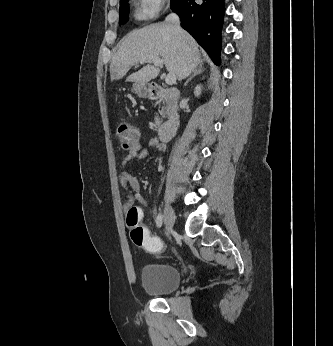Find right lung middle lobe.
I'll use <instances>...</instances> for the list:
<instances>
[{
    "mask_svg": "<svg viewBox=\"0 0 333 346\" xmlns=\"http://www.w3.org/2000/svg\"><path fill=\"white\" fill-rule=\"evenodd\" d=\"M128 10V0H120L119 24H124L128 20Z\"/></svg>",
    "mask_w": 333,
    "mask_h": 346,
    "instance_id": "1",
    "label": "right lung middle lobe"
}]
</instances>
